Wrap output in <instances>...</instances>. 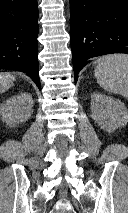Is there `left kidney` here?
Returning a JSON list of instances; mask_svg holds the SVG:
<instances>
[{"mask_svg":"<svg viewBox=\"0 0 128 213\" xmlns=\"http://www.w3.org/2000/svg\"><path fill=\"white\" fill-rule=\"evenodd\" d=\"M93 120L105 131L113 132L128 123V110L118 99L93 93L91 95Z\"/></svg>","mask_w":128,"mask_h":213,"instance_id":"obj_1","label":"left kidney"}]
</instances>
